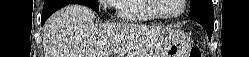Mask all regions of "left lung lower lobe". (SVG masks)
<instances>
[{"instance_id":"0a47b994","label":"left lung lower lobe","mask_w":249,"mask_h":57,"mask_svg":"<svg viewBox=\"0 0 249 57\" xmlns=\"http://www.w3.org/2000/svg\"><path fill=\"white\" fill-rule=\"evenodd\" d=\"M190 19L197 21L200 23L206 30L208 34V38L211 39L212 32L214 29V18L213 16H195V17H190Z\"/></svg>"}]
</instances>
